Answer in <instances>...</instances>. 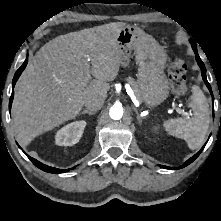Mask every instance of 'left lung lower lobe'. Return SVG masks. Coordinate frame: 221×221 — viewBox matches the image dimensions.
<instances>
[{
  "instance_id": "obj_1",
  "label": "left lung lower lobe",
  "mask_w": 221,
  "mask_h": 221,
  "mask_svg": "<svg viewBox=\"0 0 221 221\" xmlns=\"http://www.w3.org/2000/svg\"><path fill=\"white\" fill-rule=\"evenodd\" d=\"M195 54H196V60L198 62V65L200 66L201 68V74H202V77H203V80L206 84V86L208 87V89L210 90L211 94H212V91H211V87H210V84L208 83L207 81V78H206V68L204 66V63L201 61L200 57L198 56V53H197V48L196 49H193ZM204 148V147H203ZM203 148L197 153L195 154L193 157H191L189 160H187L181 167L179 168H184L185 166L189 165L190 163H192L198 156L199 154L202 152ZM162 168H165V169H172V168H169L167 166H160Z\"/></svg>"
}]
</instances>
